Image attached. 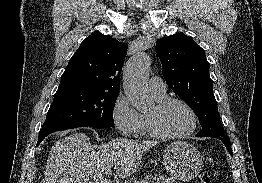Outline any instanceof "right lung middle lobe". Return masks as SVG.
Returning <instances> with one entry per match:
<instances>
[{"label":"right lung middle lobe","instance_id":"right-lung-middle-lobe-1","mask_svg":"<svg viewBox=\"0 0 262 183\" xmlns=\"http://www.w3.org/2000/svg\"><path fill=\"white\" fill-rule=\"evenodd\" d=\"M118 94L92 89L55 93L42 129L74 125L112 127L113 108Z\"/></svg>","mask_w":262,"mask_h":183}]
</instances>
